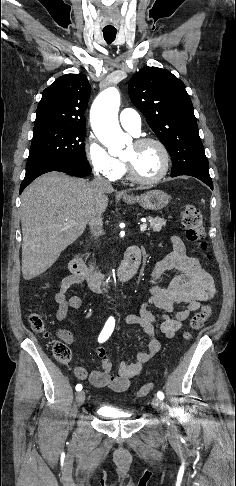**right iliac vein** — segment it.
<instances>
[{
  "instance_id": "obj_1",
  "label": "right iliac vein",
  "mask_w": 236,
  "mask_h": 486,
  "mask_svg": "<svg viewBox=\"0 0 236 486\" xmlns=\"http://www.w3.org/2000/svg\"><path fill=\"white\" fill-rule=\"evenodd\" d=\"M76 401H77L79 406H81L84 403V401H85V392L84 391H80L76 394Z\"/></svg>"
}]
</instances>
